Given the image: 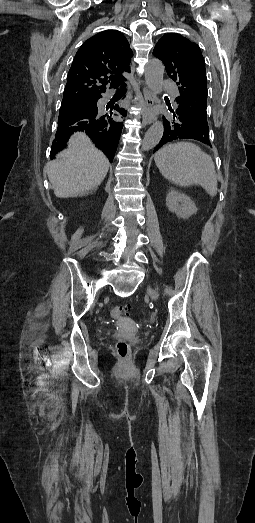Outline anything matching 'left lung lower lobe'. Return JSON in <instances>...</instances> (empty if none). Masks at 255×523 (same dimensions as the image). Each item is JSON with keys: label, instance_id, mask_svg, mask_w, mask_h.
<instances>
[{"label": "left lung lower lobe", "instance_id": "0a47b994", "mask_svg": "<svg viewBox=\"0 0 255 523\" xmlns=\"http://www.w3.org/2000/svg\"><path fill=\"white\" fill-rule=\"evenodd\" d=\"M181 112L184 110H167V115L163 117L165 134L157 140V147L169 146L170 140H182V137H185V140H202V144L210 148V137H212V134H209L210 129L198 121H193L194 115H181Z\"/></svg>", "mask_w": 255, "mask_h": 523}]
</instances>
